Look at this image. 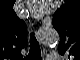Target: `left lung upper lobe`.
Returning a JSON list of instances; mask_svg holds the SVG:
<instances>
[{
  "label": "left lung upper lobe",
  "mask_w": 80,
  "mask_h": 60,
  "mask_svg": "<svg viewBox=\"0 0 80 60\" xmlns=\"http://www.w3.org/2000/svg\"><path fill=\"white\" fill-rule=\"evenodd\" d=\"M65 8L62 6L53 16V26L56 28L60 35V43L64 48L63 42L65 41V36L69 31V15L65 13Z\"/></svg>",
  "instance_id": "5c2ea615"
}]
</instances>
